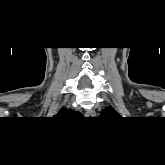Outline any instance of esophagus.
I'll return each mask as SVG.
<instances>
[{
	"label": "esophagus",
	"mask_w": 165,
	"mask_h": 165,
	"mask_svg": "<svg viewBox=\"0 0 165 165\" xmlns=\"http://www.w3.org/2000/svg\"><path fill=\"white\" fill-rule=\"evenodd\" d=\"M94 115H95V112H94L93 110L87 111V112L85 113V116H86V117H93Z\"/></svg>",
	"instance_id": "1"
}]
</instances>
